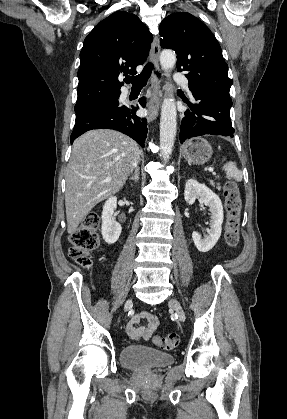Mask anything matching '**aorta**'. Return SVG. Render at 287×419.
<instances>
[{
  "label": "aorta",
  "mask_w": 287,
  "mask_h": 419,
  "mask_svg": "<svg viewBox=\"0 0 287 419\" xmlns=\"http://www.w3.org/2000/svg\"><path fill=\"white\" fill-rule=\"evenodd\" d=\"M160 63L166 73L170 72L176 64L175 53L172 50H163L160 54ZM171 89V85L168 84V94L161 106L160 155L164 162H167L172 154L177 131V110L175 99L170 93Z\"/></svg>",
  "instance_id": "762f6f07"
}]
</instances>
